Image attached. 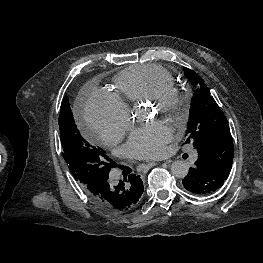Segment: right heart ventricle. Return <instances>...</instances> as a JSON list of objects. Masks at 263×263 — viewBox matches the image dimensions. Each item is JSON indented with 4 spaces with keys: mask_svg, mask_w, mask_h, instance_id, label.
Returning a JSON list of instances; mask_svg holds the SVG:
<instances>
[{
    "mask_svg": "<svg viewBox=\"0 0 263 263\" xmlns=\"http://www.w3.org/2000/svg\"><path fill=\"white\" fill-rule=\"evenodd\" d=\"M174 85L172 75L156 64L132 65L114 79V97L128 110L148 100L160 87Z\"/></svg>",
    "mask_w": 263,
    "mask_h": 263,
    "instance_id": "right-heart-ventricle-1",
    "label": "right heart ventricle"
}]
</instances>
